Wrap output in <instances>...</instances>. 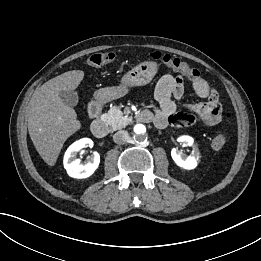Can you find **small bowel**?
I'll use <instances>...</instances> for the list:
<instances>
[{"mask_svg":"<svg viewBox=\"0 0 261 261\" xmlns=\"http://www.w3.org/2000/svg\"><path fill=\"white\" fill-rule=\"evenodd\" d=\"M191 82L196 95L204 101L186 105L189 112L184 113L178 111L175 102L184 94L183 78L166 74L159 80L155 89V98L159 106L154 113H151V121L157 128L162 129L169 124L188 126L197 121L214 126L221 121L222 108L217 92L201 77Z\"/></svg>","mask_w":261,"mask_h":261,"instance_id":"obj_1","label":"small bowel"}]
</instances>
